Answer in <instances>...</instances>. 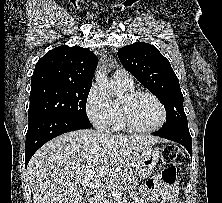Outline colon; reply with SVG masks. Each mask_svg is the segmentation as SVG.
<instances>
[{
    "label": "colon",
    "instance_id": "colon-1",
    "mask_svg": "<svg viewBox=\"0 0 222 203\" xmlns=\"http://www.w3.org/2000/svg\"><path fill=\"white\" fill-rule=\"evenodd\" d=\"M184 155L175 145H167L163 150L162 161L163 170L161 179L166 184H175L177 178V168L182 164Z\"/></svg>",
    "mask_w": 222,
    "mask_h": 203
}]
</instances>
